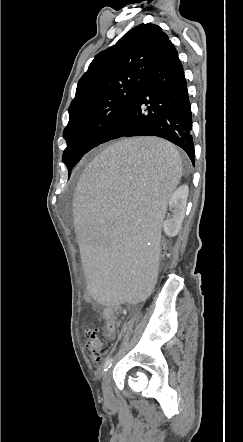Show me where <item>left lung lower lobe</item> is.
I'll use <instances>...</instances> for the list:
<instances>
[{
  "instance_id": "obj_1",
  "label": "left lung lower lobe",
  "mask_w": 243,
  "mask_h": 442,
  "mask_svg": "<svg viewBox=\"0 0 243 442\" xmlns=\"http://www.w3.org/2000/svg\"><path fill=\"white\" fill-rule=\"evenodd\" d=\"M191 130L187 83L178 53L169 40L132 106L102 143L121 137L157 136L181 147L194 164Z\"/></svg>"
}]
</instances>
